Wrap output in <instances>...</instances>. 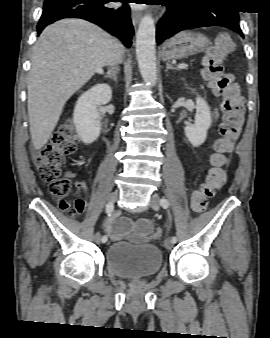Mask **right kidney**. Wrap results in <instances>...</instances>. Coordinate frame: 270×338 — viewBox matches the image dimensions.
<instances>
[{"instance_id":"obj_1","label":"right kidney","mask_w":270,"mask_h":338,"mask_svg":"<svg viewBox=\"0 0 270 338\" xmlns=\"http://www.w3.org/2000/svg\"><path fill=\"white\" fill-rule=\"evenodd\" d=\"M111 98L112 90L107 84H97L79 97L73 121L79 138L85 144H91L99 137L101 121L97 107L108 103Z\"/></svg>"}]
</instances>
